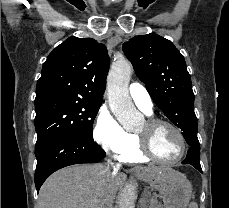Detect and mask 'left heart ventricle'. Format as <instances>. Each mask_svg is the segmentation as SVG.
<instances>
[{
  "label": "left heart ventricle",
  "mask_w": 229,
  "mask_h": 208,
  "mask_svg": "<svg viewBox=\"0 0 229 208\" xmlns=\"http://www.w3.org/2000/svg\"><path fill=\"white\" fill-rule=\"evenodd\" d=\"M170 130L173 129L162 126L151 131L153 139H149L150 152H154V157H159V160H173L181 156L185 150V147H178V143L174 142L169 133ZM149 131L146 123H144L138 132L145 134Z\"/></svg>",
  "instance_id": "obj_1"
}]
</instances>
